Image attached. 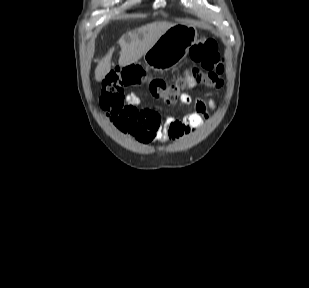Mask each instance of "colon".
Returning <instances> with one entry per match:
<instances>
[{"label": "colon", "mask_w": 309, "mask_h": 288, "mask_svg": "<svg viewBox=\"0 0 309 288\" xmlns=\"http://www.w3.org/2000/svg\"><path fill=\"white\" fill-rule=\"evenodd\" d=\"M192 65L186 71V77L195 86L220 88L223 85L221 75L224 72V60L218 51V44L212 37H205L193 44L189 50ZM188 80L178 79L168 84L161 78H152L141 66L131 64L111 70L102 80L100 105L106 115L114 121L127 117L130 108L125 101V88L147 84L151 94L168 103L175 102Z\"/></svg>", "instance_id": "1"}]
</instances>
